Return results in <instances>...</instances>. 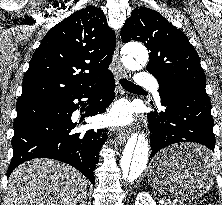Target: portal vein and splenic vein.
Masks as SVG:
<instances>
[{
    "label": "portal vein and splenic vein",
    "mask_w": 222,
    "mask_h": 205,
    "mask_svg": "<svg viewBox=\"0 0 222 205\" xmlns=\"http://www.w3.org/2000/svg\"><path fill=\"white\" fill-rule=\"evenodd\" d=\"M162 203H164L165 202V200H163V199H161L160 200ZM167 201H171L170 199H168Z\"/></svg>",
    "instance_id": "portal-vein-and-splenic-vein-1"
}]
</instances>
